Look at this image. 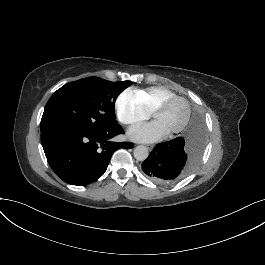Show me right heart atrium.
I'll use <instances>...</instances> for the list:
<instances>
[{
    "mask_svg": "<svg viewBox=\"0 0 265 265\" xmlns=\"http://www.w3.org/2000/svg\"><path fill=\"white\" fill-rule=\"evenodd\" d=\"M116 107L121 121L131 126L142 123L151 115L142 101L130 92H125L118 98Z\"/></svg>",
    "mask_w": 265,
    "mask_h": 265,
    "instance_id": "right-heart-atrium-1",
    "label": "right heart atrium"
}]
</instances>
